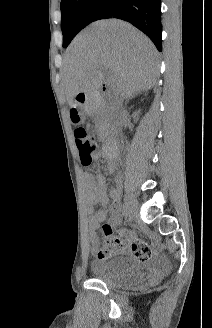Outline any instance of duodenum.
<instances>
[{
    "instance_id": "duodenum-1",
    "label": "duodenum",
    "mask_w": 212,
    "mask_h": 328,
    "mask_svg": "<svg viewBox=\"0 0 212 328\" xmlns=\"http://www.w3.org/2000/svg\"><path fill=\"white\" fill-rule=\"evenodd\" d=\"M100 96L101 97L111 96L109 88L104 86L101 90ZM100 96L85 94L81 98H78V104L80 107L89 110L97 104ZM116 152H117V141L116 140L107 141L103 148V155L105 158L108 159L109 162L108 167L111 171L114 170L115 168Z\"/></svg>"
}]
</instances>
